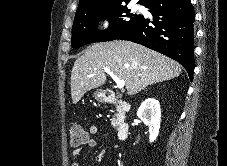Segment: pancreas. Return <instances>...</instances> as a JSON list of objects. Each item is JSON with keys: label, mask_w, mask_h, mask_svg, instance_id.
I'll use <instances>...</instances> for the list:
<instances>
[{"label": "pancreas", "mask_w": 227, "mask_h": 166, "mask_svg": "<svg viewBox=\"0 0 227 166\" xmlns=\"http://www.w3.org/2000/svg\"><path fill=\"white\" fill-rule=\"evenodd\" d=\"M121 120H120V115L116 114L112 119H111V124L114 128L118 127L120 124Z\"/></svg>", "instance_id": "pancreas-1"}]
</instances>
